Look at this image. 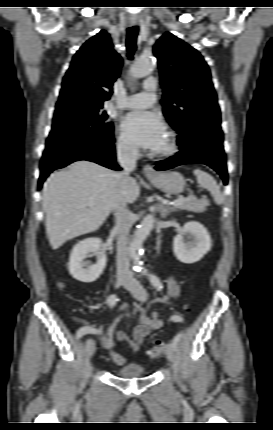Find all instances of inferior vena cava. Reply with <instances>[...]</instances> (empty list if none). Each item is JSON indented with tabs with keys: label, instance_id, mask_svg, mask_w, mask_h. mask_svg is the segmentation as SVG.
<instances>
[{
	"label": "inferior vena cava",
	"instance_id": "602c4592",
	"mask_svg": "<svg viewBox=\"0 0 273 430\" xmlns=\"http://www.w3.org/2000/svg\"><path fill=\"white\" fill-rule=\"evenodd\" d=\"M139 151L135 147H118L117 159L122 171L116 174V183L119 187L125 184L129 178V173L136 168V160ZM116 210L115 231L118 234L117 240V276L133 281L134 278L129 269L127 240L132 226V213L127 209V203L122 196H117L114 204Z\"/></svg>",
	"mask_w": 273,
	"mask_h": 430
}]
</instances>
